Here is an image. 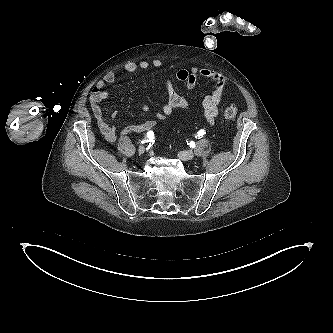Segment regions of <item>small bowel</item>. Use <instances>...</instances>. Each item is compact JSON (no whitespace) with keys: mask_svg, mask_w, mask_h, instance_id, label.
I'll return each mask as SVG.
<instances>
[{"mask_svg":"<svg viewBox=\"0 0 333 333\" xmlns=\"http://www.w3.org/2000/svg\"><path fill=\"white\" fill-rule=\"evenodd\" d=\"M151 66L159 69L162 67V62L158 59H154L151 62L147 60L127 62L124 65V69L127 72L133 73L138 70H146ZM199 77L208 79L213 83L211 90L203 97L202 114L210 125H215L218 116V105L226 87L227 79L224 75L209 68L200 69L192 67L191 69H179L176 72V79L183 83L189 90H193L195 88ZM115 80L116 75L114 72L110 71L106 73L103 79L95 85L90 96L91 108L96 118L97 125L101 133L108 141L111 142L117 138L118 134L124 136L132 133L147 132L150 131L156 124L155 120H148L142 124L125 126L118 132L114 125L109 124L104 120L101 103L109 96L105 87L113 84ZM163 85L167 102L163 106L162 110L156 114V118L158 120H163L174 110H192L191 104L176 92L169 78H164ZM142 110L144 112H148L149 107L144 105Z\"/></svg>","mask_w":333,"mask_h":333,"instance_id":"c3829d8e","label":"small bowel"}]
</instances>
